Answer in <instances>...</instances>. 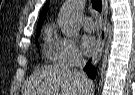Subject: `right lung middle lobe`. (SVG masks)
<instances>
[{
  "label": "right lung middle lobe",
  "instance_id": "1",
  "mask_svg": "<svg viewBox=\"0 0 135 95\" xmlns=\"http://www.w3.org/2000/svg\"><path fill=\"white\" fill-rule=\"evenodd\" d=\"M39 33H40V32L36 33V40H37V38H38V36H39Z\"/></svg>",
  "mask_w": 135,
  "mask_h": 95
}]
</instances>
